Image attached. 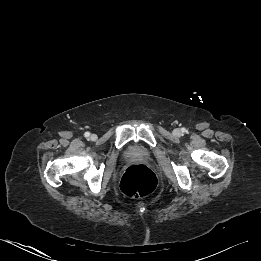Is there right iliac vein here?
Segmentation results:
<instances>
[{"label":"right iliac vein","instance_id":"right-iliac-vein-1","mask_svg":"<svg viewBox=\"0 0 261 261\" xmlns=\"http://www.w3.org/2000/svg\"><path fill=\"white\" fill-rule=\"evenodd\" d=\"M90 139H91L92 141H94V140L97 139V136H96L95 134H92V135L90 136Z\"/></svg>","mask_w":261,"mask_h":261}]
</instances>
